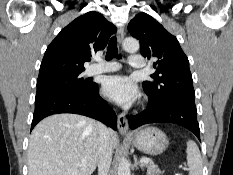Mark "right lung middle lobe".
Masks as SVG:
<instances>
[{
	"label": "right lung middle lobe",
	"instance_id": "right-lung-middle-lobe-1",
	"mask_svg": "<svg viewBox=\"0 0 233 175\" xmlns=\"http://www.w3.org/2000/svg\"><path fill=\"white\" fill-rule=\"evenodd\" d=\"M81 73L57 74L38 78L36 97L48 92H80L91 88L92 84H87L80 76Z\"/></svg>",
	"mask_w": 233,
	"mask_h": 175
}]
</instances>
